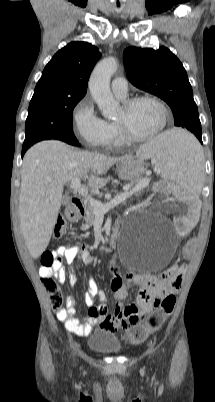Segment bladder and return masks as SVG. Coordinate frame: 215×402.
Masks as SVG:
<instances>
[{"mask_svg": "<svg viewBox=\"0 0 215 402\" xmlns=\"http://www.w3.org/2000/svg\"><path fill=\"white\" fill-rule=\"evenodd\" d=\"M88 347L99 353H117L121 350L118 337L107 329L94 331L87 340Z\"/></svg>", "mask_w": 215, "mask_h": 402, "instance_id": "1", "label": "bladder"}]
</instances>
